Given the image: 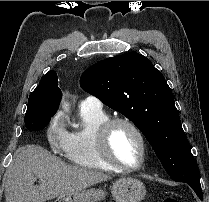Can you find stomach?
Masks as SVG:
<instances>
[{
  "label": "stomach",
  "mask_w": 209,
  "mask_h": 202,
  "mask_svg": "<svg viewBox=\"0 0 209 202\" xmlns=\"http://www.w3.org/2000/svg\"><path fill=\"white\" fill-rule=\"evenodd\" d=\"M111 194L116 202H141L146 196V187L138 179L122 177L113 183ZM105 196L104 190L92 188L62 195L57 197L55 202H98Z\"/></svg>",
  "instance_id": "1"
}]
</instances>
